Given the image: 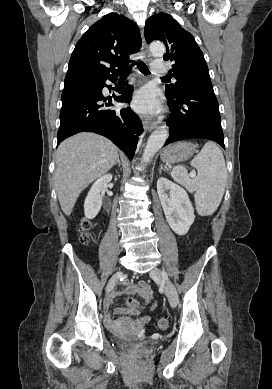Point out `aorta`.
<instances>
[{"label": "aorta", "instance_id": "aorta-1", "mask_svg": "<svg viewBox=\"0 0 272 389\" xmlns=\"http://www.w3.org/2000/svg\"><path fill=\"white\" fill-rule=\"evenodd\" d=\"M150 52L153 57H162L165 53V46L161 42H153L150 44ZM169 136V131L166 126L157 128L148 138L146 147L143 152L142 161L146 164L156 154V152L164 145Z\"/></svg>", "mask_w": 272, "mask_h": 389}]
</instances>
